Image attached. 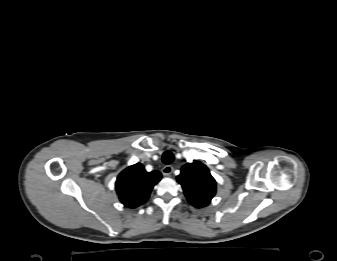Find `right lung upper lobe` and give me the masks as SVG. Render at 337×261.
<instances>
[{
    "label": "right lung upper lobe",
    "instance_id": "cb5924a9",
    "mask_svg": "<svg viewBox=\"0 0 337 261\" xmlns=\"http://www.w3.org/2000/svg\"><path fill=\"white\" fill-rule=\"evenodd\" d=\"M162 178L159 171L146 172L141 163L127 167L117 177L115 188L124 206L136 208L144 204Z\"/></svg>",
    "mask_w": 337,
    "mask_h": 261
}]
</instances>
